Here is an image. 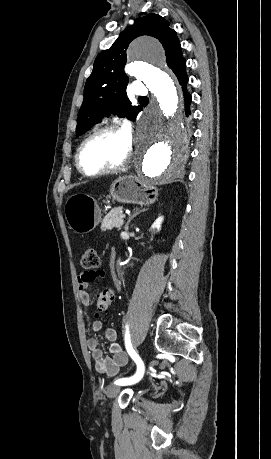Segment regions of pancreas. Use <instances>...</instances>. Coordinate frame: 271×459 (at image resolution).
Returning <instances> with one entry per match:
<instances>
[{
    "instance_id": "cf45deb5",
    "label": "pancreas",
    "mask_w": 271,
    "mask_h": 459,
    "mask_svg": "<svg viewBox=\"0 0 271 459\" xmlns=\"http://www.w3.org/2000/svg\"><path fill=\"white\" fill-rule=\"evenodd\" d=\"M120 214H123L121 206L120 208H113V210H110L109 214L105 216L102 222V230L104 232H109L112 226L120 229L121 226H123V219L120 217Z\"/></svg>"
}]
</instances>
